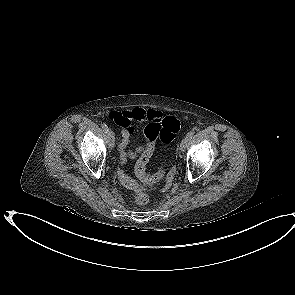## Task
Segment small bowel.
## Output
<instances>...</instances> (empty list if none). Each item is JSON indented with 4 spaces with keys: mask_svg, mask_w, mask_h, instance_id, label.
Listing matches in <instances>:
<instances>
[{
    "mask_svg": "<svg viewBox=\"0 0 295 295\" xmlns=\"http://www.w3.org/2000/svg\"><path fill=\"white\" fill-rule=\"evenodd\" d=\"M110 117L114 122L121 126L122 140L118 145V150L122 162H125L127 158L136 159L139 155H142L144 147L149 143V138L146 137V143L142 146L135 148L134 150H128L129 139L133 132L134 122H148V125L154 121H160L162 115L159 111L153 109L134 108L129 111L112 112ZM117 179L130 188L140 189L142 182L140 180H134L126 176L124 172L117 174Z\"/></svg>",
    "mask_w": 295,
    "mask_h": 295,
    "instance_id": "c3829d8e",
    "label": "small bowel"
}]
</instances>
